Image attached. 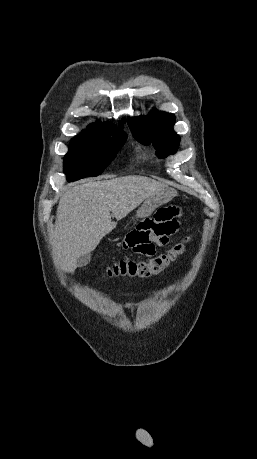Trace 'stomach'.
Returning a JSON list of instances; mask_svg holds the SVG:
<instances>
[{"mask_svg":"<svg viewBox=\"0 0 257 459\" xmlns=\"http://www.w3.org/2000/svg\"><path fill=\"white\" fill-rule=\"evenodd\" d=\"M175 195L176 192L173 189L166 188L161 192L146 198L141 207L137 210L136 216L140 218L150 216L153 211L159 207V205L169 202Z\"/></svg>","mask_w":257,"mask_h":459,"instance_id":"1","label":"stomach"}]
</instances>
